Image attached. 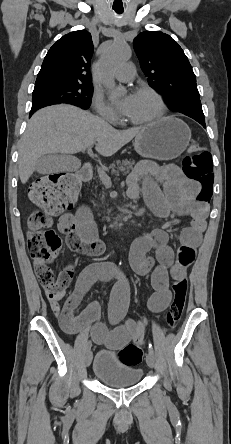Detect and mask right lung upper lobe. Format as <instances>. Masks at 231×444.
Masks as SVG:
<instances>
[{
	"label": "right lung upper lobe",
	"mask_w": 231,
	"mask_h": 444,
	"mask_svg": "<svg viewBox=\"0 0 231 444\" xmlns=\"http://www.w3.org/2000/svg\"><path fill=\"white\" fill-rule=\"evenodd\" d=\"M91 35L78 30L61 37L48 51L35 86L53 83L92 85L90 59Z\"/></svg>",
	"instance_id": "obj_1"
}]
</instances>
